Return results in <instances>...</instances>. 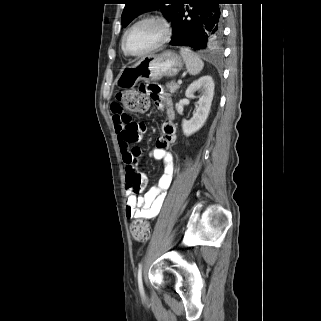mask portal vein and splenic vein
I'll use <instances>...</instances> for the list:
<instances>
[{
	"mask_svg": "<svg viewBox=\"0 0 321 321\" xmlns=\"http://www.w3.org/2000/svg\"><path fill=\"white\" fill-rule=\"evenodd\" d=\"M182 83V80H178V84H181Z\"/></svg>",
	"mask_w": 321,
	"mask_h": 321,
	"instance_id": "portal-vein-and-splenic-vein-1",
	"label": "portal vein and splenic vein"
}]
</instances>
